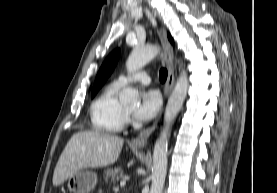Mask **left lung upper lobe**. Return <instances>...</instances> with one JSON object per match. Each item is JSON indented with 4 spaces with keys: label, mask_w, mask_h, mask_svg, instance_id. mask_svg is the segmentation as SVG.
<instances>
[{
    "label": "left lung upper lobe",
    "mask_w": 277,
    "mask_h": 193,
    "mask_svg": "<svg viewBox=\"0 0 277 193\" xmlns=\"http://www.w3.org/2000/svg\"><path fill=\"white\" fill-rule=\"evenodd\" d=\"M120 57V50L113 51L102 64L98 75L95 80V84L91 93V96L97 93V91L103 86L109 75L112 73L113 69L116 66V63Z\"/></svg>",
    "instance_id": "1"
}]
</instances>
